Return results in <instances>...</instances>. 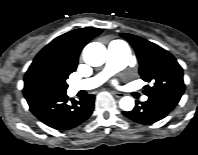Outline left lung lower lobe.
<instances>
[{"label": "left lung lower lobe", "mask_w": 198, "mask_h": 155, "mask_svg": "<svg viewBox=\"0 0 198 155\" xmlns=\"http://www.w3.org/2000/svg\"><path fill=\"white\" fill-rule=\"evenodd\" d=\"M179 101L180 98L174 96L148 97V100L143 102L141 106H136L132 111L123 112V114L135 122L152 124L166 117Z\"/></svg>", "instance_id": "1"}]
</instances>
